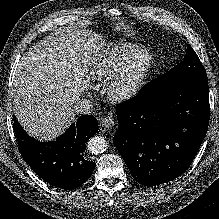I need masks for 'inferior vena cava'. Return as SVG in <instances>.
I'll return each mask as SVG.
<instances>
[{"instance_id": "inferior-vena-cava-1", "label": "inferior vena cava", "mask_w": 219, "mask_h": 219, "mask_svg": "<svg viewBox=\"0 0 219 219\" xmlns=\"http://www.w3.org/2000/svg\"><path fill=\"white\" fill-rule=\"evenodd\" d=\"M94 104L90 99H81L74 105V110L78 114L87 115L93 112Z\"/></svg>"}]
</instances>
